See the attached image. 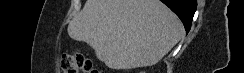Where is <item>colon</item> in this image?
I'll list each match as a JSON object with an SVG mask.
<instances>
[{"mask_svg":"<svg viewBox=\"0 0 244 73\" xmlns=\"http://www.w3.org/2000/svg\"><path fill=\"white\" fill-rule=\"evenodd\" d=\"M60 65L64 73H98L92 61L81 53L64 54Z\"/></svg>","mask_w":244,"mask_h":73,"instance_id":"5ec220e1","label":"colon"}]
</instances>
